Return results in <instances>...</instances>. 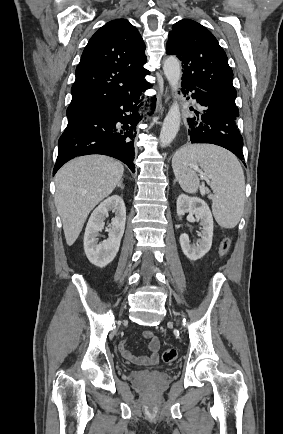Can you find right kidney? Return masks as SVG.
Here are the masks:
<instances>
[{
    "mask_svg": "<svg viewBox=\"0 0 283 434\" xmlns=\"http://www.w3.org/2000/svg\"><path fill=\"white\" fill-rule=\"evenodd\" d=\"M109 211L115 213L108 239L97 243V236L104 228V220ZM126 208L123 199L113 195L104 200L91 214L84 234V250L88 260L99 268L106 267L118 253L121 238L124 234Z\"/></svg>",
    "mask_w": 283,
    "mask_h": 434,
    "instance_id": "right-kidney-1",
    "label": "right kidney"
}]
</instances>
